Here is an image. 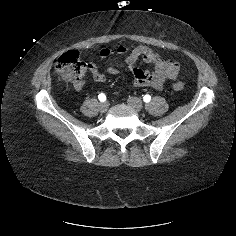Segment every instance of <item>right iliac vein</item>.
<instances>
[{
	"label": "right iliac vein",
	"mask_w": 236,
	"mask_h": 236,
	"mask_svg": "<svg viewBox=\"0 0 236 236\" xmlns=\"http://www.w3.org/2000/svg\"><path fill=\"white\" fill-rule=\"evenodd\" d=\"M109 108V104L107 102L101 103L99 105V109L101 112H106Z\"/></svg>",
	"instance_id": "1"
}]
</instances>
